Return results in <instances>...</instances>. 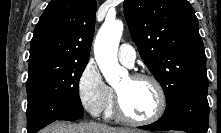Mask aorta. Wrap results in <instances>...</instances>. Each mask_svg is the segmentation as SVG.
I'll return each mask as SVG.
<instances>
[{
	"instance_id": "obj_1",
	"label": "aorta",
	"mask_w": 221,
	"mask_h": 133,
	"mask_svg": "<svg viewBox=\"0 0 221 133\" xmlns=\"http://www.w3.org/2000/svg\"><path fill=\"white\" fill-rule=\"evenodd\" d=\"M123 32V23L120 20H106L100 28L94 44L96 62L103 73L105 80L113 85L127 74L117 59L119 42Z\"/></svg>"
}]
</instances>
